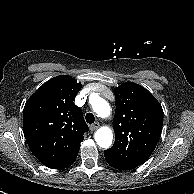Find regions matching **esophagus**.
Here are the masks:
<instances>
[{
    "label": "esophagus",
    "mask_w": 194,
    "mask_h": 194,
    "mask_svg": "<svg viewBox=\"0 0 194 194\" xmlns=\"http://www.w3.org/2000/svg\"><path fill=\"white\" fill-rule=\"evenodd\" d=\"M100 126L99 122H95L94 124L90 125V130L94 131Z\"/></svg>",
    "instance_id": "34e87169"
}]
</instances>
